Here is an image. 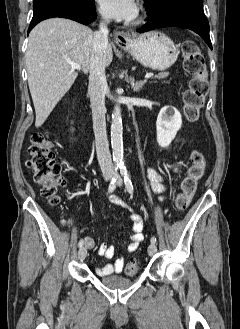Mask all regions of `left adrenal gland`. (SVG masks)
I'll return each mask as SVG.
<instances>
[{
  "label": "left adrenal gland",
  "instance_id": "a2214340",
  "mask_svg": "<svg viewBox=\"0 0 240 329\" xmlns=\"http://www.w3.org/2000/svg\"><path fill=\"white\" fill-rule=\"evenodd\" d=\"M130 83H131V87H132L133 91L138 92L142 88V86L146 83V80L135 82L134 78L131 77Z\"/></svg>",
  "mask_w": 240,
  "mask_h": 329
}]
</instances>
